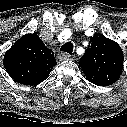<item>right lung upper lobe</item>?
Listing matches in <instances>:
<instances>
[{
    "label": "right lung upper lobe",
    "mask_w": 127,
    "mask_h": 127,
    "mask_svg": "<svg viewBox=\"0 0 127 127\" xmlns=\"http://www.w3.org/2000/svg\"><path fill=\"white\" fill-rule=\"evenodd\" d=\"M4 68L18 83L37 85L44 81L56 65L54 53L35 33L18 39L4 56Z\"/></svg>",
    "instance_id": "obj_1"
}]
</instances>
